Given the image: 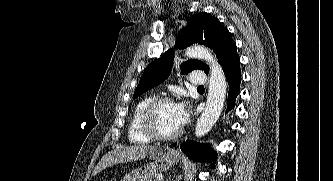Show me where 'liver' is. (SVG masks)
Instances as JSON below:
<instances>
[{
	"instance_id": "liver-1",
	"label": "liver",
	"mask_w": 333,
	"mask_h": 181,
	"mask_svg": "<svg viewBox=\"0 0 333 181\" xmlns=\"http://www.w3.org/2000/svg\"><path fill=\"white\" fill-rule=\"evenodd\" d=\"M161 149L156 146L135 145L130 147H118L107 153L97 164L93 171V176H96L103 169L126 162L142 160L145 157H151L152 153Z\"/></svg>"
}]
</instances>
